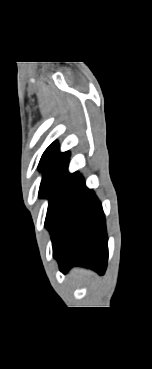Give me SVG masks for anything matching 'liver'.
I'll return each mask as SVG.
<instances>
[{"instance_id": "6515ba94", "label": "liver", "mask_w": 152, "mask_h": 369, "mask_svg": "<svg viewBox=\"0 0 152 369\" xmlns=\"http://www.w3.org/2000/svg\"><path fill=\"white\" fill-rule=\"evenodd\" d=\"M74 273H76L79 277H82L86 282H89L91 277L93 276V273L91 271H87V270H74ZM72 272V273H73Z\"/></svg>"}]
</instances>
